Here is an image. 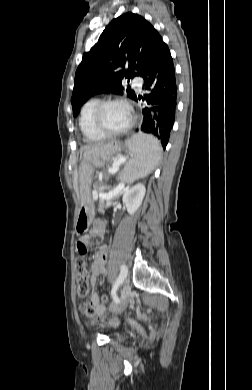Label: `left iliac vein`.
<instances>
[{"label":"left iliac vein","instance_id":"left-iliac-vein-1","mask_svg":"<svg viewBox=\"0 0 252 390\" xmlns=\"http://www.w3.org/2000/svg\"><path fill=\"white\" fill-rule=\"evenodd\" d=\"M130 286L128 281L126 280L121 289V304L117 309H112L113 311L121 313L128 306L130 301Z\"/></svg>","mask_w":252,"mask_h":390}]
</instances>
